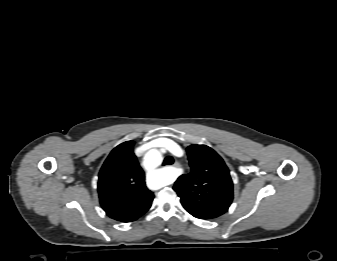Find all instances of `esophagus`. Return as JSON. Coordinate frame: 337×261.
Segmentation results:
<instances>
[{
	"instance_id": "1",
	"label": "esophagus",
	"mask_w": 337,
	"mask_h": 261,
	"mask_svg": "<svg viewBox=\"0 0 337 261\" xmlns=\"http://www.w3.org/2000/svg\"><path fill=\"white\" fill-rule=\"evenodd\" d=\"M173 166H174V167H179L180 164H179L178 162H175Z\"/></svg>"
}]
</instances>
